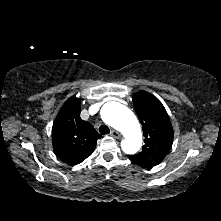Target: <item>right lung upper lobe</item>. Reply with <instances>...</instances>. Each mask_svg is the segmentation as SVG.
<instances>
[{
	"mask_svg": "<svg viewBox=\"0 0 221 221\" xmlns=\"http://www.w3.org/2000/svg\"><path fill=\"white\" fill-rule=\"evenodd\" d=\"M80 99L69 98L61 107L52 127L55 155L64 163L76 165L89 157L102 136L80 118Z\"/></svg>",
	"mask_w": 221,
	"mask_h": 221,
	"instance_id": "obj_1",
	"label": "right lung upper lobe"
}]
</instances>
